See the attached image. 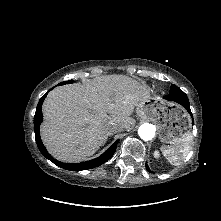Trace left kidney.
I'll list each match as a JSON object with an SVG mask.
<instances>
[{
    "mask_svg": "<svg viewBox=\"0 0 221 221\" xmlns=\"http://www.w3.org/2000/svg\"><path fill=\"white\" fill-rule=\"evenodd\" d=\"M154 157L157 158V159L160 157L159 151H157V150L154 151Z\"/></svg>",
    "mask_w": 221,
    "mask_h": 221,
    "instance_id": "1",
    "label": "left kidney"
}]
</instances>
